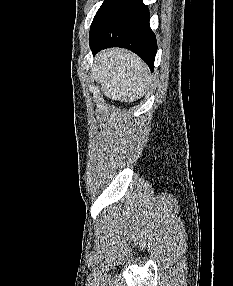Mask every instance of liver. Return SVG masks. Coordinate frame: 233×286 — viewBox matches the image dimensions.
Segmentation results:
<instances>
[{
  "instance_id": "1",
  "label": "liver",
  "mask_w": 233,
  "mask_h": 286,
  "mask_svg": "<svg viewBox=\"0 0 233 286\" xmlns=\"http://www.w3.org/2000/svg\"><path fill=\"white\" fill-rule=\"evenodd\" d=\"M92 73L105 96L133 102L143 96L151 82L145 63L134 53L108 49L95 56Z\"/></svg>"
}]
</instances>
